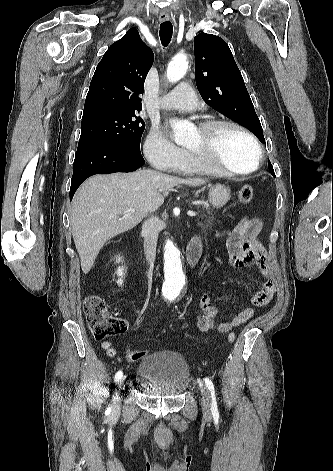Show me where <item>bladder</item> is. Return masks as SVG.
<instances>
[{"mask_svg": "<svg viewBox=\"0 0 333 471\" xmlns=\"http://www.w3.org/2000/svg\"><path fill=\"white\" fill-rule=\"evenodd\" d=\"M137 377L147 382L149 393L162 398L182 395L189 387L191 374L186 359L171 350H160L144 357Z\"/></svg>", "mask_w": 333, "mask_h": 471, "instance_id": "bladder-1", "label": "bladder"}]
</instances>
